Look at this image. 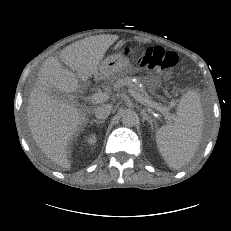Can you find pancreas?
<instances>
[{"mask_svg":"<svg viewBox=\"0 0 231 231\" xmlns=\"http://www.w3.org/2000/svg\"><path fill=\"white\" fill-rule=\"evenodd\" d=\"M128 87L130 90L135 91L139 95H141L143 98H145L148 101L153 102L154 108L163 113L164 115L168 112V108L163 106L161 103L154 102L150 99V97L147 95V92L145 91L144 88H141L134 84L132 82V78L128 76H118L116 77L115 83L113 84V89L114 90H119L122 87Z\"/></svg>","mask_w":231,"mask_h":231,"instance_id":"1","label":"pancreas"}]
</instances>
